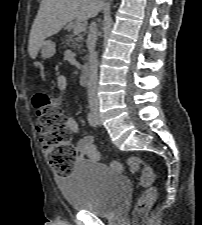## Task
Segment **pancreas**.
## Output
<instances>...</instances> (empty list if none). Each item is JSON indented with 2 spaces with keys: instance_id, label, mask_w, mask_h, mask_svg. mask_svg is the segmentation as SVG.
Instances as JSON below:
<instances>
[{
  "instance_id": "pancreas-1",
  "label": "pancreas",
  "mask_w": 202,
  "mask_h": 225,
  "mask_svg": "<svg viewBox=\"0 0 202 225\" xmlns=\"http://www.w3.org/2000/svg\"><path fill=\"white\" fill-rule=\"evenodd\" d=\"M82 41V36H77V37H73V36H68V40L66 42V46L71 47L74 50H80L81 45H79V43Z\"/></svg>"
}]
</instances>
